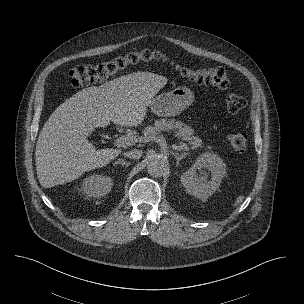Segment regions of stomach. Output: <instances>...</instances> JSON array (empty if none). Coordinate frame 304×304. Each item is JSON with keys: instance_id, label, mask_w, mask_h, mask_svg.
Instances as JSON below:
<instances>
[{"instance_id": "obj_1", "label": "stomach", "mask_w": 304, "mask_h": 304, "mask_svg": "<svg viewBox=\"0 0 304 304\" xmlns=\"http://www.w3.org/2000/svg\"><path fill=\"white\" fill-rule=\"evenodd\" d=\"M194 101L193 92L187 87H177L170 92H164L154 97L149 108L151 112L162 117L179 115Z\"/></svg>"}]
</instances>
